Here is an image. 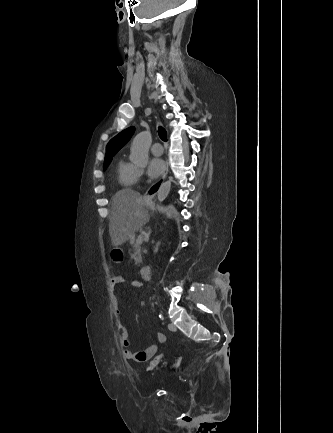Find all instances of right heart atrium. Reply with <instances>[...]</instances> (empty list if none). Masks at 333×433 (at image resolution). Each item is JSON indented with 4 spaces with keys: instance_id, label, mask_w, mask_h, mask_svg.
<instances>
[{
    "instance_id": "d8ad5b80",
    "label": "right heart atrium",
    "mask_w": 333,
    "mask_h": 433,
    "mask_svg": "<svg viewBox=\"0 0 333 433\" xmlns=\"http://www.w3.org/2000/svg\"><path fill=\"white\" fill-rule=\"evenodd\" d=\"M137 171H138V176H139V177L143 175V169L138 168Z\"/></svg>"
}]
</instances>
